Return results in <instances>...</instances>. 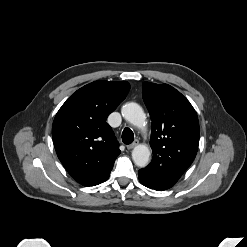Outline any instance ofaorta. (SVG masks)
<instances>
[{
	"instance_id": "762f6f07",
	"label": "aorta",
	"mask_w": 247,
	"mask_h": 247,
	"mask_svg": "<svg viewBox=\"0 0 247 247\" xmlns=\"http://www.w3.org/2000/svg\"><path fill=\"white\" fill-rule=\"evenodd\" d=\"M121 113L123 118L134 126L143 128L146 125L145 113L142 107L135 102H129L123 105ZM150 155V149L143 144L136 145L132 150V159L139 167H145L149 164Z\"/></svg>"
}]
</instances>
